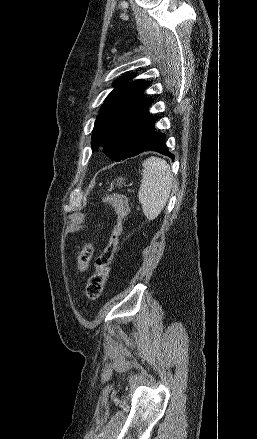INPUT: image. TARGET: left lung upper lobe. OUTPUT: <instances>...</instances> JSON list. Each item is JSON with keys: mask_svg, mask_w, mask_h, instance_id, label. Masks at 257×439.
Instances as JSON below:
<instances>
[{"mask_svg": "<svg viewBox=\"0 0 257 439\" xmlns=\"http://www.w3.org/2000/svg\"><path fill=\"white\" fill-rule=\"evenodd\" d=\"M127 74L117 79L115 88L107 96L95 121L92 134V151L99 147L115 161L123 160L137 144L139 135L150 117L151 99L142 95L149 82L132 79Z\"/></svg>", "mask_w": 257, "mask_h": 439, "instance_id": "obj_1", "label": "left lung upper lobe"}]
</instances>
